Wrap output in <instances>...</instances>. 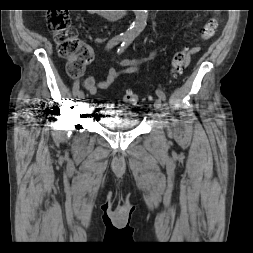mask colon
<instances>
[{
  "label": "colon",
  "mask_w": 253,
  "mask_h": 253,
  "mask_svg": "<svg viewBox=\"0 0 253 253\" xmlns=\"http://www.w3.org/2000/svg\"><path fill=\"white\" fill-rule=\"evenodd\" d=\"M217 26V20L209 18L201 28L198 40L211 38ZM48 28L54 35L60 55L68 61V73L73 77L81 76L85 67L94 60L95 54L90 46L76 36L69 14L64 11L51 12ZM198 49L195 42H192L174 54L169 72L171 78L177 77L187 68L191 55L198 52ZM124 100L132 105L142 103L140 95L130 90L125 93Z\"/></svg>",
  "instance_id": "obj_1"
}]
</instances>
